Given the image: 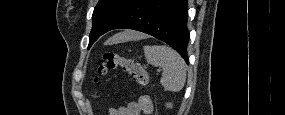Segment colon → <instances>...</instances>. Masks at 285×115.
Returning <instances> with one entry per match:
<instances>
[{
	"mask_svg": "<svg viewBox=\"0 0 285 115\" xmlns=\"http://www.w3.org/2000/svg\"><path fill=\"white\" fill-rule=\"evenodd\" d=\"M118 68L127 73L138 85L146 87L149 84L148 72L140 63L112 52L104 54L102 62L97 67L95 82H99L110 70Z\"/></svg>",
	"mask_w": 285,
	"mask_h": 115,
	"instance_id": "obj_1",
	"label": "colon"
}]
</instances>
